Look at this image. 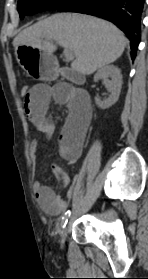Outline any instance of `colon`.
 <instances>
[{"label":"colon","mask_w":148,"mask_h":279,"mask_svg":"<svg viewBox=\"0 0 148 279\" xmlns=\"http://www.w3.org/2000/svg\"><path fill=\"white\" fill-rule=\"evenodd\" d=\"M30 90L31 88L27 85L21 87L20 89V95L22 96V98L25 100V99H28L29 96H30Z\"/></svg>","instance_id":"obj_1"}]
</instances>
